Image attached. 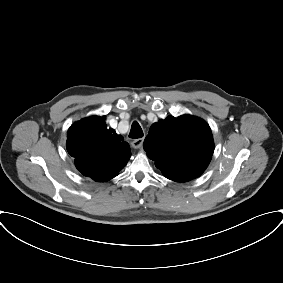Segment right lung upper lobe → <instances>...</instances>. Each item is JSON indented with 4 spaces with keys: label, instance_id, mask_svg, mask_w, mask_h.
Listing matches in <instances>:
<instances>
[{
    "label": "right lung upper lobe",
    "instance_id": "1",
    "mask_svg": "<svg viewBox=\"0 0 283 283\" xmlns=\"http://www.w3.org/2000/svg\"><path fill=\"white\" fill-rule=\"evenodd\" d=\"M66 148L74 157L76 168L97 182L117 176L131 157L129 144L113 130L109 131L98 116L71 125Z\"/></svg>",
    "mask_w": 283,
    "mask_h": 283
}]
</instances>
